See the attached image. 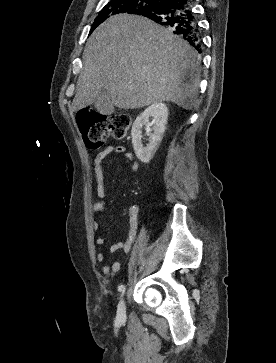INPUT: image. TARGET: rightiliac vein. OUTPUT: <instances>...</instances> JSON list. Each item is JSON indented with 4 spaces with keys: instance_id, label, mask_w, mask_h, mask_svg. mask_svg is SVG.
<instances>
[{
    "instance_id": "right-iliac-vein-1",
    "label": "right iliac vein",
    "mask_w": 276,
    "mask_h": 363,
    "mask_svg": "<svg viewBox=\"0 0 276 363\" xmlns=\"http://www.w3.org/2000/svg\"><path fill=\"white\" fill-rule=\"evenodd\" d=\"M117 316L120 319L125 318L126 316V306H125V299L122 298L118 304V308H117Z\"/></svg>"
}]
</instances>
